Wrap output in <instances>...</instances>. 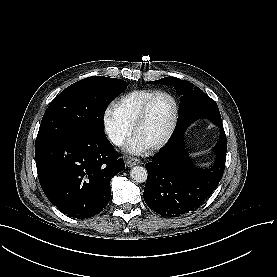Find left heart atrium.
<instances>
[{"label":"left heart atrium","mask_w":277,"mask_h":277,"mask_svg":"<svg viewBox=\"0 0 277 277\" xmlns=\"http://www.w3.org/2000/svg\"><path fill=\"white\" fill-rule=\"evenodd\" d=\"M144 144L142 141H140L139 139L135 138V139H130L127 142V148L126 150L132 154H140L144 151Z\"/></svg>","instance_id":"1"}]
</instances>
